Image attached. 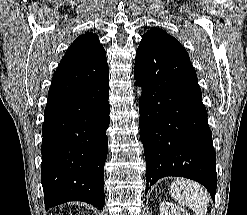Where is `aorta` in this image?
<instances>
[{
	"label": "aorta",
	"instance_id": "762f6f07",
	"mask_svg": "<svg viewBox=\"0 0 247 215\" xmlns=\"http://www.w3.org/2000/svg\"><path fill=\"white\" fill-rule=\"evenodd\" d=\"M137 93H138V95H139V96L142 94V90H141V88H140V89H138Z\"/></svg>",
	"mask_w": 247,
	"mask_h": 215
}]
</instances>
